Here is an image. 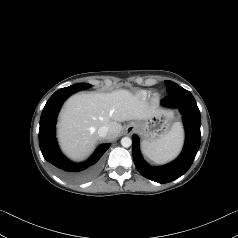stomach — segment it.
<instances>
[{
  "label": "stomach",
  "mask_w": 238,
  "mask_h": 238,
  "mask_svg": "<svg viewBox=\"0 0 238 238\" xmlns=\"http://www.w3.org/2000/svg\"><path fill=\"white\" fill-rule=\"evenodd\" d=\"M174 115L170 111H158L148 119L132 122L131 126L143 138V145L161 139L174 125Z\"/></svg>",
  "instance_id": "1"
}]
</instances>
